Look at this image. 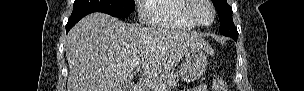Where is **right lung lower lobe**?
Here are the masks:
<instances>
[{"label": "right lung lower lobe", "instance_id": "1", "mask_svg": "<svg viewBox=\"0 0 304 91\" xmlns=\"http://www.w3.org/2000/svg\"><path fill=\"white\" fill-rule=\"evenodd\" d=\"M93 13L91 10L73 11L66 24V33L84 16Z\"/></svg>", "mask_w": 304, "mask_h": 91}]
</instances>
